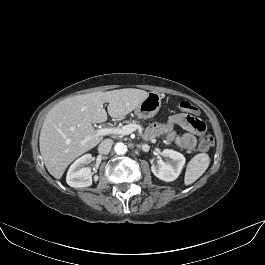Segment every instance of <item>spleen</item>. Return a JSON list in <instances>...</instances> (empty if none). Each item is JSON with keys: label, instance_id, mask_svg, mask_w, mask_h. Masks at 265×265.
Masks as SVG:
<instances>
[{"label": "spleen", "instance_id": "spleen-1", "mask_svg": "<svg viewBox=\"0 0 265 265\" xmlns=\"http://www.w3.org/2000/svg\"><path fill=\"white\" fill-rule=\"evenodd\" d=\"M210 164L209 155L206 153H200L195 155L187 165L184 183L190 185L199 179L207 170Z\"/></svg>", "mask_w": 265, "mask_h": 265}]
</instances>
